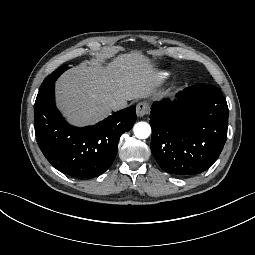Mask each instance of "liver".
I'll use <instances>...</instances> for the list:
<instances>
[{
	"label": "liver",
	"instance_id": "obj_1",
	"mask_svg": "<svg viewBox=\"0 0 255 255\" xmlns=\"http://www.w3.org/2000/svg\"><path fill=\"white\" fill-rule=\"evenodd\" d=\"M107 62L83 63L58 82L59 103L75 124L93 123L107 116L112 100L148 96L154 75L151 64L137 54Z\"/></svg>",
	"mask_w": 255,
	"mask_h": 255
}]
</instances>
